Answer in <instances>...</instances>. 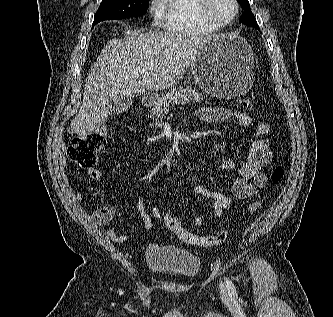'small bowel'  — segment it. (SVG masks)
Here are the masks:
<instances>
[{
	"label": "small bowel",
	"mask_w": 333,
	"mask_h": 317,
	"mask_svg": "<svg viewBox=\"0 0 333 317\" xmlns=\"http://www.w3.org/2000/svg\"><path fill=\"white\" fill-rule=\"evenodd\" d=\"M195 114L204 122L236 121L243 127H253L252 118L241 111L229 110L223 107H202L199 108ZM269 130L270 126L268 123H258L255 126L254 140L246 158L240 163L235 159H228L220 165L221 170L236 172V176L232 180L231 192L237 199H250L267 183V177L263 170L270 163L272 158L269 141L266 137ZM140 160L147 161L148 159L141 157ZM90 177L94 181H98V171L92 170ZM193 192L210 200L215 218H220L225 211L232 207L231 197L220 192L207 189L201 185H195ZM75 197L76 199H80L81 195L76 193ZM139 212L146 230L153 228L152 218L161 219V211L153 206L147 197L141 201ZM114 214L115 210L113 207L104 206L96 209L92 217L97 225L105 226L112 221ZM204 221L205 219L202 215H197L193 223L195 226L199 227L203 225ZM106 237L116 243H125L129 240L128 234H120L114 229H108L106 231Z\"/></svg>",
	"instance_id": "obj_1"
}]
</instances>
